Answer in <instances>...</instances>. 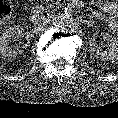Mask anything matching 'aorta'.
I'll list each match as a JSON object with an SVG mask.
<instances>
[{
    "label": "aorta",
    "instance_id": "obj_1",
    "mask_svg": "<svg viewBox=\"0 0 118 118\" xmlns=\"http://www.w3.org/2000/svg\"><path fill=\"white\" fill-rule=\"evenodd\" d=\"M52 23L56 27L64 28V27L72 26L75 23V21L73 16L70 13L64 12V13H58L56 15H53Z\"/></svg>",
    "mask_w": 118,
    "mask_h": 118
}]
</instances>
